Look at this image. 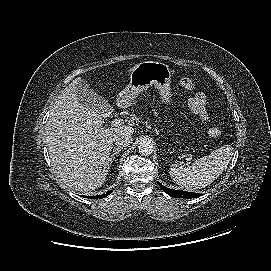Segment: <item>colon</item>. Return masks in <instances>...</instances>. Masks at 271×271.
<instances>
[{
    "mask_svg": "<svg viewBox=\"0 0 271 271\" xmlns=\"http://www.w3.org/2000/svg\"><path fill=\"white\" fill-rule=\"evenodd\" d=\"M179 84L186 90H192L194 88L193 80L188 77L181 78ZM208 134L212 138H217L221 134V128L219 126H213L209 129Z\"/></svg>",
    "mask_w": 271,
    "mask_h": 271,
    "instance_id": "1",
    "label": "colon"
}]
</instances>
